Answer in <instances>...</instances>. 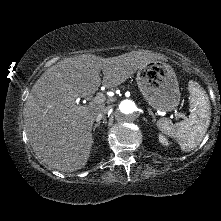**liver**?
<instances>
[{"instance_id": "6515ba94", "label": "liver", "mask_w": 221, "mask_h": 221, "mask_svg": "<svg viewBox=\"0 0 221 221\" xmlns=\"http://www.w3.org/2000/svg\"><path fill=\"white\" fill-rule=\"evenodd\" d=\"M154 60L166 58L145 50L109 58L83 54L48 68L24 105V124L35 155L58 171L83 168L93 145V123L104 104L80 105L76 99L94 94L101 83L106 88L116 87Z\"/></svg>"}]
</instances>
